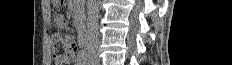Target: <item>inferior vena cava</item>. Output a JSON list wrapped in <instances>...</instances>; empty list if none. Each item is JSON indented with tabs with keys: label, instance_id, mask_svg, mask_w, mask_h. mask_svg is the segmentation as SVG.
<instances>
[{
	"label": "inferior vena cava",
	"instance_id": "obj_1",
	"mask_svg": "<svg viewBox=\"0 0 232 65\" xmlns=\"http://www.w3.org/2000/svg\"><path fill=\"white\" fill-rule=\"evenodd\" d=\"M99 0H87L86 50L88 59L98 60V15Z\"/></svg>",
	"mask_w": 232,
	"mask_h": 65
}]
</instances>
